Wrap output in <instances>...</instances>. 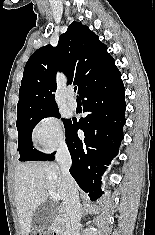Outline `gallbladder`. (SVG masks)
I'll return each instance as SVG.
<instances>
[{"instance_id": "obj_1", "label": "gallbladder", "mask_w": 155, "mask_h": 235, "mask_svg": "<svg viewBox=\"0 0 155 235\" xmlns=\"http://www.w3.org/2000/svg\"><path fill=\"white\" fill-rule=\"evenodd\" d=\"M58 207L51 202L41 204L33 217V227L37 230L47 228L55 219Z\"/></svg>"}]
</instances>
